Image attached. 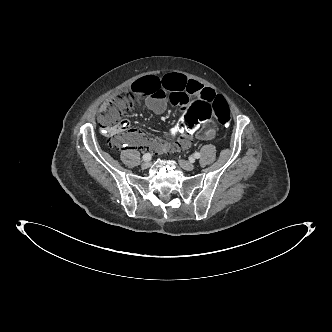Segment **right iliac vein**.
Wrapping results in <instances>:
<instances>
[{
  "label": "right iliac vein",
  "mask_w": 332,
  "mask_h": 332,
  "mask_svg": "<svg viewBox=\"0 0 332 332\" xmlns=\"http://www.w3.org/2000/svg\"><path fill=\"white\" fill-rule=\"evenodd\" d=\"M151 166V162L150 161H144L142 163V168L143 169H148Z\"/></svg>",
  "instance_id": "right-iliac-vein-1"
}]
</instances>
